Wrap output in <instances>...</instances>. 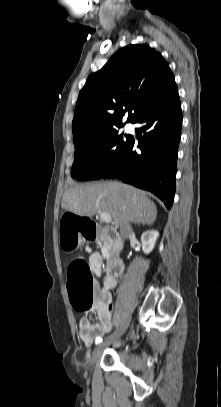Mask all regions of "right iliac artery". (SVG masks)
<instances>
[{
  "mask_svg": "<svg viewBox=\"0 0 221 407\" xmlns=\"http://www.w3.org/2000/svg\"><path fill=\"white\" fill-rule=\"evenodd\" d=\"M100 342H102V338L99 337V338L96 339L95 343L99 344Z\"/></svg>",
  "mask_w": 221,
  "mask_h": 407,
  "instance_id": "right-iliac-artery-1",
  "label": "right iliac artery"
}]
</instances>
